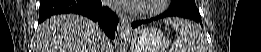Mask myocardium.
<instances>
[{
    "label": "myocardium",
    "instance_id": "f54148a6",
    "mask_svg": "<svg viewBox=\"0 0 261 52\" xmlns=\"http://www.w3.org/2000/svg\"><path fill=\"white\" fill-rule=\"evenodd\" d=\"M166 2V0H151L144 2L132 11L142 17L154 16L161 13L165 9Z\"/></svg>",
    "mask_w": 261,
    "mask_h": 52
}]
</instances>
